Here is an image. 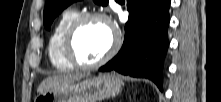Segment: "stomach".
Wrapping results in <instances>:
<instances>
[{
	"label": "stomach",
	"mask_w": 221,
	"mask_h": 102,
	"mask_svg": "<svg viewBox=\"0 0 221 102\" xmlns=\"http://www.w3.org/2000/svg\"><path fill=\"white\" fill-rule=\"evenodd\" d=\"M122 80L114 74L72 82L39 93L34 102H99L120 93Z\"/></svg>",
	"instance_id": "0dacf381"
}]
</instances>
